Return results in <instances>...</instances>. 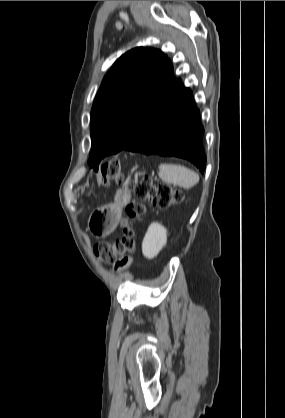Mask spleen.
Wrapping results in <instances>:
<instances>
[{
  "instance_id": "spleen-1",
  "label": "spleen",
  "mask_w": 285,
  "mask_h": 418,
  "mask_svg": "<svg viewBox=\"0 0 285 418\" xmlns=\"http://www.w3.org/2000/svg\"><path fill=\"white\" fill-rule=\"evenodd\" d=\"M159 177L171 183L189 189L199 182V176L193 170L177 164H160Z\"/></svg>"
}]
</instances>
